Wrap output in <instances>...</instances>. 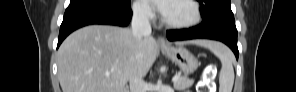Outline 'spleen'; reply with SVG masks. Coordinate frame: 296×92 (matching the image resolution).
Returning <instances> with one entry per match:
<instances>
[{
    "mask_svg": "<svg viewBox=\"0 0 296 92\" xmlns=\"http://www.w3.org/2000/svg\"><path fill=\"white\" fill-rule=\"evenodd\" d=\"M208 47L219 58L222 65L219 73V92H232L234 84L232 53L221 43L211 42Z\"/></svg>",
    "mask_w": 296,
    "mask_h": 92,
    "instance_id": "3e777b00",
    "label": "spleen"
}]
</instances>
